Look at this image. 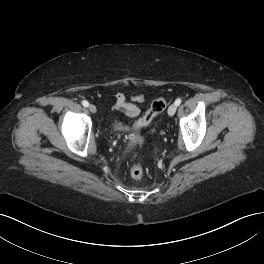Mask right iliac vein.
<instances>
[{
  "mask_svg": "<svg viewBox=\"0 0 264 264\" xmlns=\"http://www.w3.org/2000/svg\"><path fill=\"white\" fill-rule=\"evenodd\" d=\"M88 108L91 113H96L97 111L96 106L93 104H90Z\"/></svg>",
  "mask_w": 264,
  "mask_h": 264,
  "instance_id": "1",
  "label": "right iliac vein"
}]
</instances>
